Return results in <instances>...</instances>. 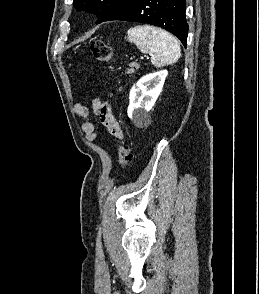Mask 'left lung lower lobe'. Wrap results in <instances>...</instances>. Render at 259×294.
Listing matches in <instances>:
<instances>
[{"label": "left lung lower lobe", "mask_w": 259, "mask_h": 294, "mask_svg": "<svg viewBox=\"0 0 259 294\" xmlns=\"http://www.w3.org/2000/svg\"><path fill=\"white\" fill-rule=\"evenodd\" d=\"M186 0H126L105 19L147 23L173 33L186 47L188 24Z\"/></svg>", "instance_id": "0a47b994"}]
</instances>
